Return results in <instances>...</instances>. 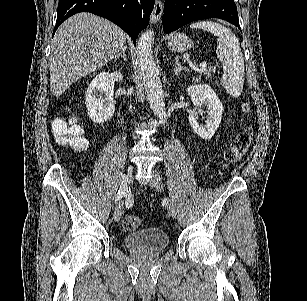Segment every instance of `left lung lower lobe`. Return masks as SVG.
<instances>
[{
	"mask_svg": "<svg viewBox=\"0 0 307 301\" xmlns=\"http://www.w3.org/2000/svg\"><path fill=\"white\" fill-rule=\"evenodd\" d=\"M207 18L226 20L241 30L233 0H166L164 3L162 23L166 33Z\"/></svg>",
	"mask_w": 307,
	"mask_h": 301,
	"instance_id": "1",
	"label": "left lung lower lobe"
}]
</instances>
